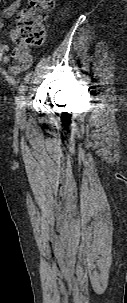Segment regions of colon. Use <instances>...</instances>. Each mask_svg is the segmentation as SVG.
Wrapping results in <instances>:
<instances>
[{
  "label": "colon",
  "instance_id": "obj_1",
  "mask_svg": "<svg viewBox=\"0 0 127 303\" xmlns=\"http://www.w3.org/2000/svg\"><path fill=\"white\" fill-rule=\"evenodd\" d=\"M54 0H29L27 9L17 19L15 42L22 47L40 46L44 43L47 18Z\"/></svg>",
  "mask_w": 127,
  "mask_h": 303
}]
</instances>
